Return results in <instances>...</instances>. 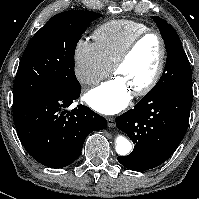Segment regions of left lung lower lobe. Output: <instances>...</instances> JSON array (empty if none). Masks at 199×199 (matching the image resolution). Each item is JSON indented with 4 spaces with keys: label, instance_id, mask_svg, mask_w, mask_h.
Instances as JSON below:
<instances>
[{
    "label": "left lung lower lobe",
    "instance_id": "0a47b994",
    "mask_svg": "<svg viewBox=\"0 0 199 199\" xmlns=\"http://www.w3.org/2000/svg\"><path fill=\"white\" fill-rule=\"evenodd\" d=\"M192 100L191 88L146 95L133 109L117 117V127L135 145L131 154L118 156V161L133 171L152 169L165 162L187 131Z\"/></svg>",
    "mask_w": 199,
    "mask_h": 199
}]
</instances>
